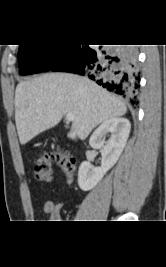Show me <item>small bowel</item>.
<instances>
[{"label":"small bowel","instance_id":"small-bowel-1","mask_svg":"<svg viewBox=\"0 0 166 267\" xmlns=\"http://www.w3.org/2000/svg\"><path fill=\"white\" fill-rule=\"evenodd\" d=\"M63 203L47 200L43 204V212L47 215L50 222H57L61 219Z\"/></svg>","mask_w":166,"mask_h":267}]
</instances>
